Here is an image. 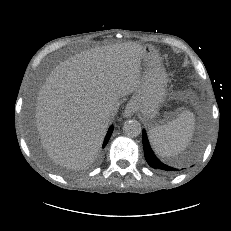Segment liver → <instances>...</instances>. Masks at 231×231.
Here are the masks:
<instances>
[{"label": "liver", "mask_w": 231, "mask_h": 231, "mask_svg": "<svg viewBox=\"0 0 231 231\" xmlns=\"http://www.w3.org/2000/svg\"><path fill=\"white\" fill-rule=\"evenodd\" d=\"M144 47L135 42L84 51L58 65L39 91L35 123L56 163L84 168L97 157L119 98L140 83ZM114 111L107 115V108Z\"/></svg>", "instance_id": "obj_1"}]
</instances>
